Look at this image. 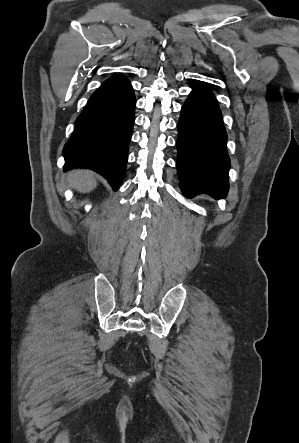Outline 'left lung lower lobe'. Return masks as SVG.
Returning <instances> with one entry per match:
<instances>
[{
	"instance_id": "obj_1",
	"label": "left lung lower lobe",
	"mask_w": 299,
	"mask_h": 443,
	"mask_svg": "<svg viewBox=\"0 0 299 443\" xmlns=\"http://www.w3.org/2000/svg\"><path fill=\"white\" fill-rule=\"evenodd\" d=\"M177 168L186 197L207 193L219 199L228 192L230 159L221 111L212 92L197 86L181 110L178 122Z\"/></svg>"
}]
</instances>
